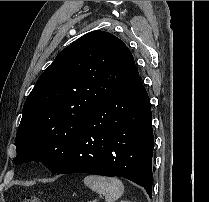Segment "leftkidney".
Segmentation results:
<instances>
[{"mask_svg": "<svg viewBox=\"0 0 209 202\" xmlns=\"http://www.w3.org/2000/svg\"><path fill=\"white\" fill-rule=\"evenodd\" d=\"M121 202H129V201H121Z\"/></svg>", "mask_w": 209, "mask_h": 202, "instance_id": "1", "label": "left kidney"}]
</instances>
